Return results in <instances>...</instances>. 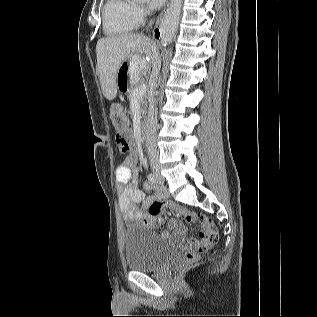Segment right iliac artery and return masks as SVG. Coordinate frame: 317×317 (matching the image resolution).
<instances>
[{"label":"right iliac artery","instance_id":"obj_1","mask_svg":"<svg viewBox=\"0 0 317 317\" xmlns=\"http://www.w3.org/2000/svg\"><path fill=\"white\" fill-rule=\"evenodd\" d=\"M148 180H149L152 184H156V183H157V177H156L154 174H152V173H150V174L148 175Z\"/></svg>","mask_w":317,"mask_h":317}]
</instances>
